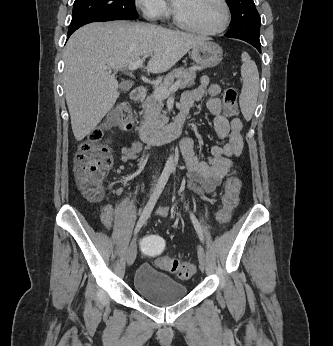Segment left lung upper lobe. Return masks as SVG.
I'll return each mask as SVG.
<instances>
[{"label":"left lung upper lobe","mask_w":333,"mask_h":346,"mask_svg":"<svg viewBox=\"0 0 333 346\" xmlns=\"http://www.w3.org/2000/svg\"><path fill=\"white\" fill-rule=\"evenodd\" d=\"M232 13V25L227 35L260 42L261 19L253 0H226Z\"/></svg>","instance_id":"left-lung-upper-lobe-1"}]
</instances>
